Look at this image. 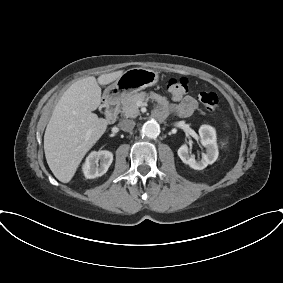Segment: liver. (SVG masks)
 <instances>
[{
  "mask_svg": "<svg viewBox=\"0 0 283 283\" xmlns=\"http://www.w3.org/2000/svg\"><path fill=\"white\" fill-rule=\"evenodd\" d=\"M124 72L89 76L73 83L54 108L44 134V151L54 176L68 183L86 153L107 129L108 122L92 111L101 104V88Z\"/></svg>",
  "mask_w": 283,
  "mask_h": 283,
  "instance_id": "1",
  "label": "liver"
}]
</instances>
